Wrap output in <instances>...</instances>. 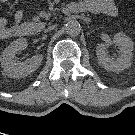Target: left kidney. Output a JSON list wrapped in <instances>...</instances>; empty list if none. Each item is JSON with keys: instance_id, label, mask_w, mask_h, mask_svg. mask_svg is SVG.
Returning <instances> with one entry per match:
<instances>
[{"instance_id": "1", "label": "left kidney", "mask_w": 135, "mask_h": 135, "mask_svg": "<svg viewBox=\"0 0 135 135\" xmlns=\"http://www.w3.org/2000/svg\"><path fill=\"white\" fill-rule=\"evenodd\" d=\"M113 43L118 46L121 57L116 60L109 58L107 53V45L104 43L98 44L96 47V55L99 63L109 71H123L131 66L133 42L131 38L123 33H117L113 37Z\"/></svg>"}]
</instances>
